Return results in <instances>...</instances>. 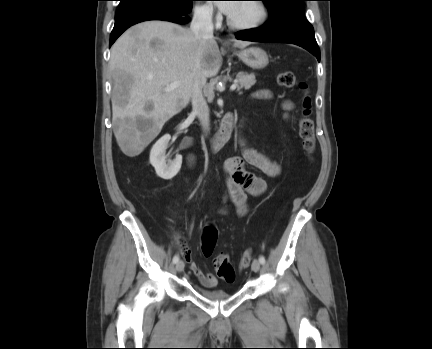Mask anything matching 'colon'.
<instances>
[{
    "label": "colon",
    "mask_w": 432,
    "mask_h": 349,
    "mask_svg": "<svg viewBox=\"0 0 432 349\" xmlns=\"http://www.w3.org/2000/svg\"><path fill=\"white\" fill-rule=\"evenodd\" d=\"M277 82L281 87L294 88L298 86L304 91L302 100V113L299 121V136L302 141L304 150L308 154H312L315 150V130L314 121L312 119V99L307 93V85L304 82H298L295 75L291 71L280 72L277 76ZM218 233L213 226L205 228L202 237V252L205 256H211L217 242ZM252 253L245 251L241 257L239 268L248 267L252 261ZM213 265L217 275L227 281L232 282L235 279V269L227 255H219L213 259Z\"/></svg>",
    "instance_id": "obj_1"
}]
</instances>
